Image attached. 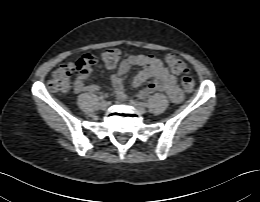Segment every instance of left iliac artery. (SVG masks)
Returning a JSON list of instances; mask_svg holds the SVG:
<instances>
[{
    "label": "left iliac artery",
    "mask_w": 260,
    "mask_h": 202,
    "mask_svg": "<svg viewBox=\"0 0 260 202\" xmlns=\"http://www.w3.org/2000/svg\"><path fill=\"white\" fill-rule=\"evenodd\" d=\"M140 104L143 105V106H147L146 102H141Z\"/></svg>",
    "instance_id": "1"
}]
</instances>
